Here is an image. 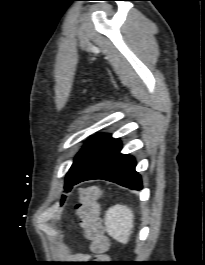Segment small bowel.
<instances>
[{"mask_svg": "<svg viewBox=\"0 0 205 265\" xmlns=\"http://www.w3.org/2000/svg\"><path fill=\"white\" fill-rule=\"evenodd\" d=\"M80 260H86L87 259V255L81 254L79 255Z\"/></svg>", "mask_w": 205, "mask_h": 265, "instance_id": "obj_1", "label": "small bowel"}]
</instances>
